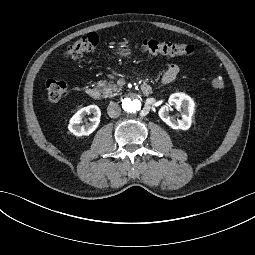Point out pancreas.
I'll use <instances>...</instances> for the list:
<instances>
[{"instance_id":"cf45deb5","label":"pancreas","mask_w":255,"mask_h":255,"mask_svg":"<svg viewBox=\"0 0 255 255\" xmlns=\"http://www.w3.org/2000/svg\"><path fill=\"white\" fill-rule=\"evenodd\" d=\"M98 86L101 88L104 98L114 97L121 91V88L116 84H112L111 82H107L105 80L99 81Z\"/></svg>"}]
</instances>
